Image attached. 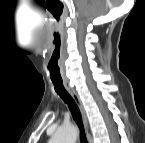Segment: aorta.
Segmentation results:
<instances>
[{
	"label": "aorta",
	"mask_w": 145,
	"mask_h": 143,
	"mask_svg": "<svg viewBox=\"0 0 145 143\" xmlns=\"http://www.w3.org/2000/svg\"><path fill=\"white\" fill-rule=\"evenodd\" d=\"M77 131L73 126H62L52 136V143H75Z\"/></svg>",
	"instance_id": "762f6f07"
}]
</instances>
